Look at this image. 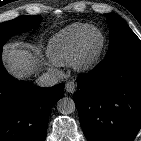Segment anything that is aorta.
I'll return each mask as SVG.
<instances>
[{"instance_id": "obj_1", "label": "aorta", "mask_w": 141, "mask_h": 141, "mask_svg": "<svg viewBox=\"0 0 141 141\" xmlns=\"http://www.w3.org/2000/svg\"><path fill=\"white\" fill-rule=\"evenodd\" d=\"M76 105L73 99L63 97L57 102V110L64 115L71 114L75 111Z\"/></svg>"}]
</instances>
